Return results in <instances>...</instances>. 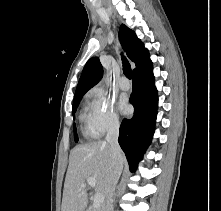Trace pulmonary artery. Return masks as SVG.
<instances>
[{
    "label": "pulmonary artery",
    "instance_id": "pulmonary-artery-1",
    "mask_svg": "<svg viewBox=\"0 0 221 211\" xmlns=\"http://www.w3.org/2000/svg\"><path fill=\"white\" fill-rule=\"evenodd\" d=\"M119 87L122 90H128L130 88V83L125 77H121L119 80Z\"/></svg>",
    "mask_w": 221,
    "mask_h": 211
}]
</instances>
